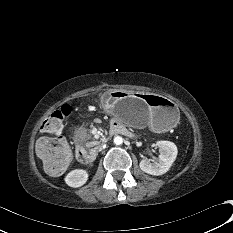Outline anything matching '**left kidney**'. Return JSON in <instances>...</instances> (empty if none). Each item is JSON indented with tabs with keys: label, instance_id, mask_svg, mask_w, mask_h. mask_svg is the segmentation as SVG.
Wrapping results in <instances>:
<instances>
[{
	"label": "left kidney",
	"instance_id": "5707ae66",
	"mask_svg": "<svg viewBox=\"0 0 233 233\" xmlns=\"http://www.w3.org/2000/svg\"><path fill=\"white\" fill-rule=\"evenodd\" d=\"M156 146L159 148V161L151 163L147 159H142L139 166L142 171L150 175H162L166 173L177 157V147L170 141H157Z\"/></svg>",
	"mask_w": 233,
	"mask_h": 233
}]
</instances>
